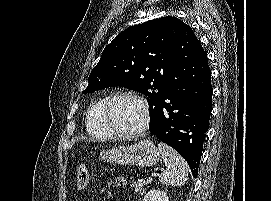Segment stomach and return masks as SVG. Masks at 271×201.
<instances>
[{
	"instance_id": "1",
	"label": "stomach",
	"mask_w": 271,
	"mask_h": 201,
	"mask_svg": "<svg viewBox=\"0 0 271 201\" xmlns=\"http://www.w3.org/2000/svg\"><path fill=\"white\" fill-rule=\"evenodd\" d=\"M99 158L111 164L149 167L159 161L160 154L151 140H141L132 145L103 149Z\"/></svg>"
}]
</instances>
